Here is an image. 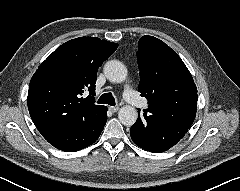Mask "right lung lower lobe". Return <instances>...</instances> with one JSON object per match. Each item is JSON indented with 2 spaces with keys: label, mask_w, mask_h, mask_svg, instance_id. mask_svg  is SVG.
<instances>
[{
  "label": "right lung lower lobe",
  "mask_w": 240,
  "mask_h": 191,
  "mask_svg": "<svg viewBox=\"0 0 240 191\" xmlns=\"http://www.w3.org/2000/svg\"><path fill=\"white\" fill-rule=\"evenodd\" d=\"M107 107L93 121L79 127H58L42 136L55 148L65 152H75L92 145L100 136L106 121Z\"/></svg>",
  "instance_id": "1"
}]
</instances>
